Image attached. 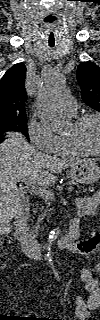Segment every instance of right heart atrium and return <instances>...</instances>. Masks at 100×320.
I'll return each instance as SVG.
<instances>
[{
    "instance_id": "right-heart-atrium-1",
    "label": "right heart atrium",
    "mask_w": 100,
    "mask_h": 320,
    "mask_svg": "<svg viewBox=\"0 0 100 320\" xmlns=\"http://www.w3.org/2000/svg\"><path fill=\"white\" fill-rule=\"evenodd\" d=\"M28 135L32 144L40 151L54 153L59 137L49 130L44 124L31 120L28 124Z\"/></svg>"
}]
</instances>
